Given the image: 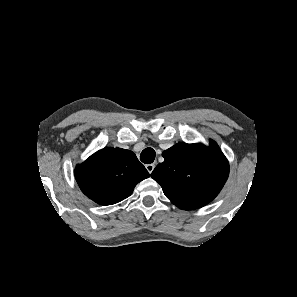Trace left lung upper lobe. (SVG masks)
<instances>
[{
    "instance_id": "obj_1",
    "label": "left lung upper lobe",
    "mask_w": 297,
    "mask_h": 297,
    "mask_svg": "<svg viewBox=\"0 0 297 297\" xmlns=\"http://www.w3.org/2000/svg\"><path fill=\"white\" fill-rule=\"evenodd\" d=\"M164 162L157 165L151 177L166 197L183 210L200 208L221 191L229 175V164L216 142L177 143L162 153Z\"/></svg>"
}]
</instances>
